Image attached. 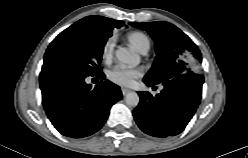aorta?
Wrapping results in <instances>:
<instances>
[{
	"label": "aorta",
	"instance_id": "aorta-1",
	"mask_svg": "<svg viewBox=\"0 0 248 158\" xmlns=\"http://www.w3.org/2000/svg\"><path fill=\"white\" fill-rule=\"evenodd\" d=\"M115 56L117 60L123 64L136 66L139 63V56L133 51L121 47L116 50ZM139 96L136 92H130L125 97V102L128 106L136 107L139 104Z\"/></svg>",
	"mask_w": 248,
	"mask_h": 158
}]
</instances>
